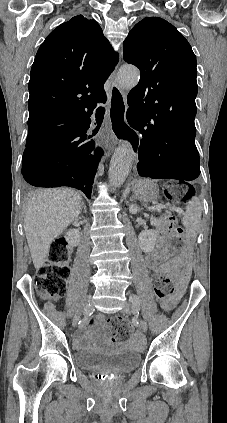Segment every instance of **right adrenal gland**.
Listing matches in <instances>:
<instances>
[{
  "mask_svg": "<svg viewBox=\"0 0 227 423\" xmlns=\"http://www.w3.org/2000/svg\"><path fill=\"white\" fill-rule=\"evenodd\" d=\"M82 206H83V208H84V211H85V213H86V206H85V204H84V202H82Z\"/></svg>",
  "mask_w": 227,
  "mask_h": 423,
  "instance_id": "1",
  "label": "right adrenal gland"
}]
</instances>
